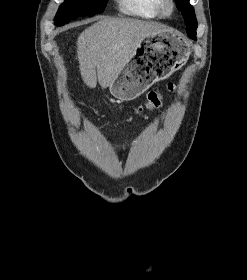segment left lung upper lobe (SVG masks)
Listing matches in <instances>:
<instances>
[{"label":"left lung upper lobe","mask_w":247,"mask_h":280,"mask_svg":"<svg viewBox=\"0 0 247 280\" xmlns=\"http://www.w3.org/2000/svg\"><path fill=\"white\" fill-rule=\"evenodd\" d=\"M176 3L185 20L189 37L196 39L197 20L194 8L190 5L189 0H176Z\"/></svg>","instance_id":"5c2ea615"}]
</instances>
